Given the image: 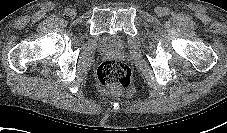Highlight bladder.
<instances>
[{"label":"bladder","mask_w":227,"mask_h":133,"mask_svg":"<svg viewBox=\"0 0 227 133\" xmlns=\"http://www.w3.org/2000/svg\"><path fill=\"white\" fill-rule=\"evenodd\" d=\"M100 45L103 49L108 51H117L121 50L124 47V41L123 39L118 35H105Z\"/></svg>","instance_id":"1"}]
</instances>
